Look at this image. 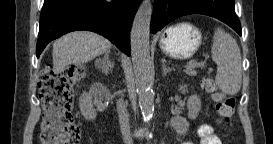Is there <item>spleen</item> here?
Returning a JSON list of instances; mask_svg holds the SVG:
<instances>
[{
    "instance_id": "obj_1",
    "label": "spleen",
    "mask_w": 273,
    "mask_h": 144,
    "mask_svg": "<svg viewBox=\"0 0 273 144\" xmlns=\"http://www.w3.org/2000/svg\"><path fill=\"white\" fill-rule=\"evenodd\" d=\"M211 55L218 66L217 86L226 94H237L242 81L240 49L235 39L219 27L213 36Z\"/></svg>"
}]
</instances>
